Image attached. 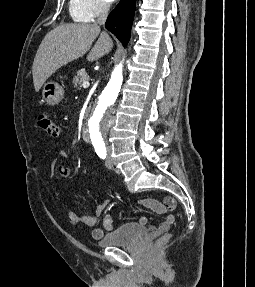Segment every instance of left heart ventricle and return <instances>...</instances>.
<instances>
[{
  "label": "left heart ventricle",
  "instance_id": "left-heart-ventricle-1",
  "mask_svg": "<svg viewBox=\"0 0 255 287\" xmlns=\"http://www.w3.org/2000/svg\"><path fill=\"white\" fill-rule=\"evenodd\" d=\"M99 33V32H98ZM92 39H100V38H92ZM90 48H100V47H90Z\"/></svg>",
  "mask_w": 255,
  "mask_h": 287
}]
</instances>
